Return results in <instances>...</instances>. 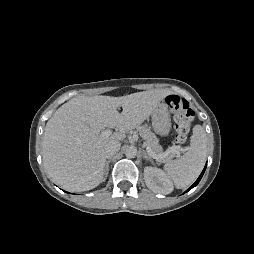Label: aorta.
Returning a JSON list of instances; mask_svg holds the SVG:
<instances>
[{
  "label": "aorta",
  "instance_id": "aorta-1",
  "mask_svg": "<svg viewBox=\"0 0 254 254\" xmlns=\"http://www.w3.org/2000/svg\"><path fill=\"white\" fill-rule=\"evenodd\" d=\"M125 155L127 158H135L137 155V149L134 146H129L126 150H125Z\"/></svg>",
  "mask_w": 254,
  "mask_h": 254
}]
</instances>
